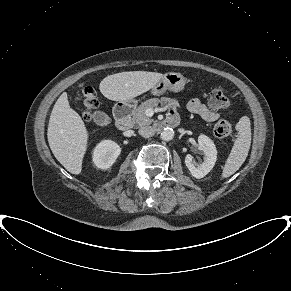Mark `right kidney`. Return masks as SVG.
<instances>
[{"instance_id": "obj_1", "label": "right kidney", "mask_w": 291, "mask_h": 291, "mask_svg": "<svg viewBox=\"0 0 291 291\" xmlns=\"http://www.w3.org/2000/svg\"><path fill=\"white\" fill-rule=\"evenodd\" d=\"M121 152L120 146L111 140L101 141L93 150V163L100 169L113 165Z\"/></svg>"}]
</instances>
